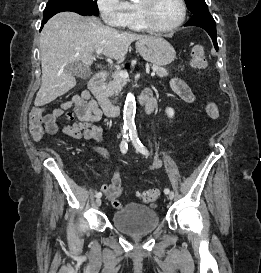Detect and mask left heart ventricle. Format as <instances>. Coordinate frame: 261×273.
<instances>
[{
  "mask_svg": "<svg viewBox=\"0 0 261 273\" xmlns=\"http://www.w3.org/2000/svg\"><path fill=\"white\" fill-rule=\"evenodd\" d=\"M153 20L159 27H170L181 17L178 0H156L153 7Z\"/></svg>",
  "mask_w": 261,
  "mask_h": 273,
  "instance_id": "left-heart-ventricle-1",
  "label": "left heart ventricle"
}]
</instances>
